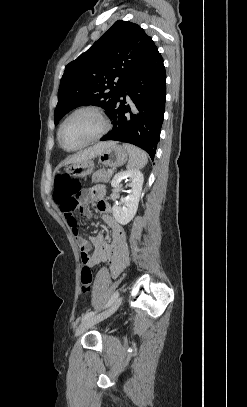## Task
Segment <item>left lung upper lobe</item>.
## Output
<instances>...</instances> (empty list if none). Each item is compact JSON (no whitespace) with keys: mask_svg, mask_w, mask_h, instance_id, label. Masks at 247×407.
<instances>
[{"mask_svg":"<svg viewBox=\"0 0 247 407\" xmlns=\"http://www.w3.org/2000/svg\"><path fill=\"white\" fill-rule=\"evenodd\" d=\"M156 49L139 25L116 21L92 47L66 66L58 90L55 125L82 105L100 106L110 116L127 82Z\"/></svg>","mask_w":247,"mask_h":407,"instance_id":"left-lung-upper-lobe-1","label":"left lung upper lobe"}]
</instances>
